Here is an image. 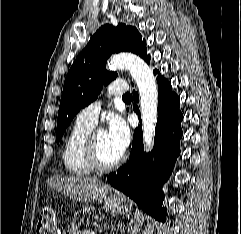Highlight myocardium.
<instances>
[{
	"label": "myocardium",
	"mask_w": 241,
	"mask_h": 234,
	"mask_svg": "<svg viewBox=\"0 0 241 234\" xmlns=\"http://www.w3.org/2000/svg\"><path fill=\"white\" fill-rule=\"evenodd\" d=\"M96 132H91L87 138V145H86V156L89 164L94 168L96 171H110L123 163L125 160V155L121 154V156L116 159L114 162L105 163L99 154L98 143L96 140Z\"/></svg>",
	"instance_id": "obj_1"
}]
</instances>
